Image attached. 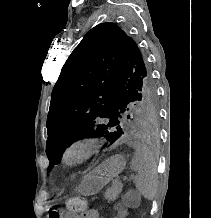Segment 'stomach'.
I'll return each instance as SVG.
<instances>
[{
    "instance_id": "0dacf381",
    "label": "stomach",
    "mask_w": 211,
    "mask_h": 218,
    "mask_svg": "<svg viewBox=\"0 0 211 218\" xmlns=\"http://www.w3.org/2000/svg\"><path fill=\"white\" fill-rule=\"evenodd\" d=\"M125 166L124 156L114 155L110 157L83 177L78 187L79 192L83 195L96 194L114 177H117Z\"/></svg>"
}]
</instances>
